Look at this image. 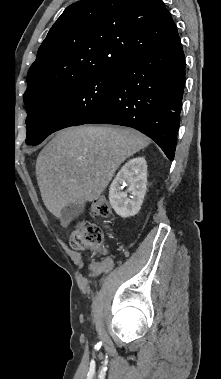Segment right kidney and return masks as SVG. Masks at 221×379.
<instances>
[{"instance_id": "obj_1", "label": "right kidney", "mask_w": 221, "mask_h": 379, "mask_svg": "<svg viewBox=\"0 0 221 379\" xmlns=\"http://www.w3.org/2000/svg\"><path fill=\"white\" fill-rule=\"evenodd\" d=\"M147 185V164L144 157L129 160L117 173L109 189V201L119 216L137 214L143 203ZM126 191H123L124 187ZM130 193V198L127 194Z\"/></svg>"}]
</instances>
